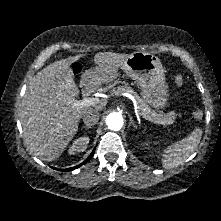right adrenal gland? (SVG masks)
<instances>
[{"label":"right adrenal gland","mask_w":221,"mask_h":221,"mask_svg":"<svg viewBox=\"0 0 221 221\" xmlns=\"http://www.w3.org/2000/svg\"><path fill=\"white\" fill-rule=\"evenodd\" d=\"M83 128H84V129H91V128H92V126L85 125V126H83Z\"/></svg>","instance_id":"1"}]
</instances>
